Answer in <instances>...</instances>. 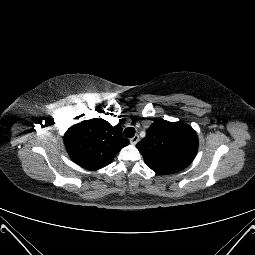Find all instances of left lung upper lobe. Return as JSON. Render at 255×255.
Returning <instances> with one entry per match:
<instances>
[{
  "label": "left lung upper lobe",
  "mask_w": 255,
  "mask_h": 255,
  "mask_svg": "<svg viewBox=\"0 0 255 255\" xmlns=\"http://www.w3.org/2000/svg\"><path fill=\"white\" fill-rule=\"evenodd\" d=\"M136 147L149 168L166 175L183 170L193 161L198 137L187 124L156 119Z\"/></svg>",
  "instance_id": "5c2ea615"
}]
</instances>
